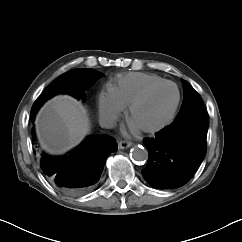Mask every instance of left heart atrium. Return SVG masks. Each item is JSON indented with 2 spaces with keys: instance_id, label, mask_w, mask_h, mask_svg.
Here are the masks:
<instances>
[{
  "instance_id": "39dd6f15",
  "label": "left heart atrium",
  "mask_w": 242,
  "mask_h": 242,
  "mask_svg": "<svg viewBox=\"0 0 242 242\" xmlns=\"http://www.w3.org/2000/svg\"><path fill=\"white\" fill-rule=\"evenodd\" d=\"M133 127H134L135 129H137V127H136V126H134V125H133Z\"/></svg>"
}]
</instances>
